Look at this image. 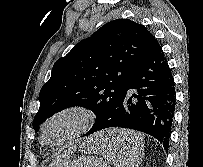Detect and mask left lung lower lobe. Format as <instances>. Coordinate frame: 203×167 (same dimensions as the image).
<instances>
[{"instance_id": "left-lung-lower-lobe-1", "label": "left lung lower lobe", "mask_w": 203, "mask_h": 167, "mask_svg": "<svg viewBox=\"0 0 203 167\" xmlns=\"http://www.w3.org/2000/svg\"><path fill=\"white\" fill-rule=\"evenodd\" d=\"M175 103L174 78L157 42L130 72L127 85L111 117L89 134L110 127L134 129L155 137L167 151ZM99 146L121 148L122 142L108 140L100 142Z\"/></svg>"}]
</instances>
